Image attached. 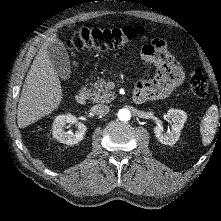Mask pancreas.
I'll return each mask as SVG.
<instances>
[{
	"mask_svg": "<svg viewBox=\"0 0 221 221\" xmlns=\"http://www.w3.org/2000/svg\"><path fill=\"white\" fill-rule=\"evenodd\" d=\"M90 98L95 103H109L115 96L112 91L107 89L105 80H99L92 85Z\"/></svg>",
	"mask_w": 221,
	"mask_h": 221,
	"instance_id": "pancreas-1",
	"label": "pancreas"
}]
</instances>
